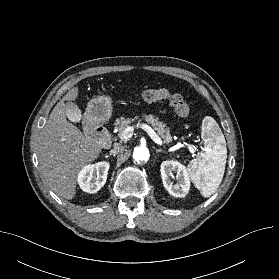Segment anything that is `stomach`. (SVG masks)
<instances>
[{
    "mask_svg": "<svg viewBox=\"0 0 279 279\" xmlns=\"http://www.w3.org/2000/svg\"><path fill=\"white\" fill-rule=\"evenodd\" d=\"M112 114V98L108 95L93 98L88 103L85 120L91 125L108 121Z\"/></svg>",
    "mask_w": 279,
    "mask_h": 279,
    "instance_id": "0dacf381",
    "label": "stomach"
}]
</instances>
